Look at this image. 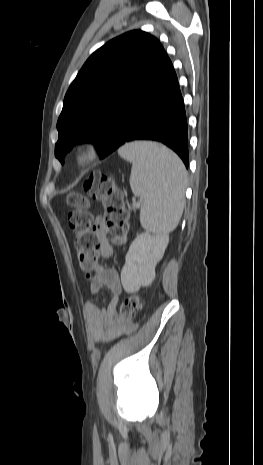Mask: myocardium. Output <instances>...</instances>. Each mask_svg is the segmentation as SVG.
I'll use <instances>...</instances> for the list:
<instances>
[{
  "instance_id": "obj_1",
  "label": "myocardium",
  "mask_w": 263,
  "mask_h": 465,
  "mask_svg": "<svg viewBox=\"0 0 263 465\" xmlns=\"http://www.w3.org/2000/svg\"><path fill=\"white\" fill-rule=\"evenodd\" d=\"M101 146L95 140H86L78 143L73 151V161L78 167H87L100 155Z\"/></svg>"
}]
</instances>
